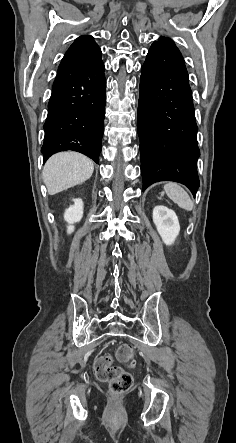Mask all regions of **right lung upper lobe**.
Returning <instances> with one entry per match:
<instances>
[{
	"label": "right lung upper lobe",
	"mask_w": 236,
	"mask_h": 443,
	"mask_svg": "<svg viewBox=\"0 0 236 443\" xmlns=\"http://www.w3.org/2000/svg\"><path fill=\"white\" fill-rule=\"evenodd\" d=\"M71 62L83 65L101 63V49L90 35L78 37L69 47L61 63Z\"/></svg>",
	"instance_id": "obj_1"
}]
</instances>
